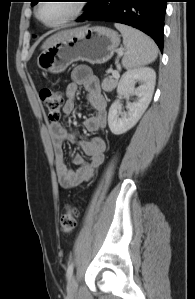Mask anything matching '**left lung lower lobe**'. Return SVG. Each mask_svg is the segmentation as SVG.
Segmentation results:
<instances>
[{
  "label": "left lung lower lobe",
  "instance_id": "obj_1",
  "mask_svg": "<svg viewBox=\"0 0 195 299\" xmlns=\"http://www.w3.org/2000/svg\"><path fill=\"white\" fill-rule=\"evenodd\" d=\"M167 0H90L77 21L100 20L126 24L149 35L163 50Z\"/></svg>",
  "mask_w": 195,
  "mask_h": 299
}]
</instances>
